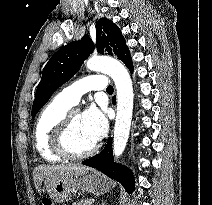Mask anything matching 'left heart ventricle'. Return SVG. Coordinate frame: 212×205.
<instances>
[{
  "instance_id": "b2bd125f",
  "label": "left heart ventricle",
  "mask_w": 212,
  "mask_h": 205,
  "mask_svg": "<svg viewBox=\"0 0 212 205\" xmlns=\"http://www.w3.org/2000/svg\"><path fill=\"white\" fill-rule=\"evenodd\" d=\"M96 141L86 130L81 114L75 112L71 119L68 134V145L74 152H82L89 149Z\"/></svg>"
}]
</instances>
